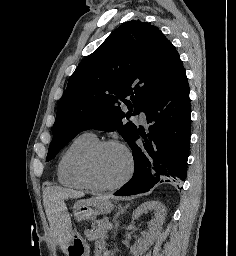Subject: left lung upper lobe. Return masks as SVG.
Listing matches in <instances>:
<instances>
[{"mask_svg": "<svg viewBox=\"0 0 236 256\" xmlns=\"http://www.w3.org/2000/svg\"><path fill=\"white\" fill-rule=\"evenodd\" d=\"M182 69L178 52L156 26L139 20L121 25L69 78L58 104L46 160L90 128L117 130L129 144L137 127L123 119L139 114ZM121 102L129 112L121 110Z\"/></svg>", "mask_w": 236, "mask_h": 256, "instance_id": "1", "label": "left lung upper lobe"}]
</instances>
